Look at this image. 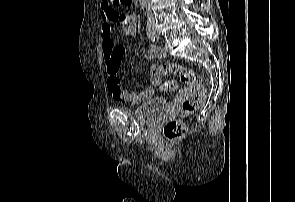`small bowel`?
I'll use <instances>...</instances> for the list:
<instances>
[{
    "instance_id": "1",
    "label": "small bowel",
    "mask_w": 295,
    "mask_h": 202,
    "mask_svg": "<svg viewBox=\"0 0 295 202\" xmlns=\"http://www.w3.org/2000/svg\"><path fill=\"white\" fill-rule=\"evenodd\" d=\"M126 22H122V18ZM101 37L103 43V57L106 64V81L109 91L117 100H123L132 104L143 102L153 97L155 89L160 85L162 75H153L149 71L150 85L142 91L135 92L123 89L119 79L120 61L125 54L123 45L115 46L111 35L112 25L123 26L124 32L129 37H134L137 28V17L135 14L121 15L117 8L113 7L109 0L101 2ZM161 55V51L151 46L148 50L147 57L153 59ZM184 98H190L189 85H180L179 98H173L170 107H179V103H184Z\"/></svg>"
}]
</instances>
